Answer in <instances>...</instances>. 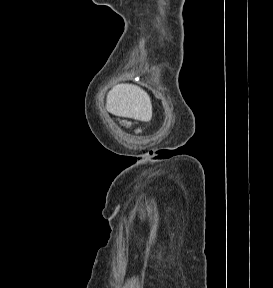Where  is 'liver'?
<instances>
[{
	"instance_id": "1",
	"label": "liver",
	"mask_w": 273,
	"mask_h": 288,
	"mask_svg": "<svg viewBox=\"0 0 273 288\" xmlns=\"http://www.w3.org/2000/svg\"><path fill=\"white\" fill-rule=\"evenodd\" d=\"M106 109L115 116L142 122L152 118L150 96L139 86L129 83L117 84L108 92Z\"/></svg>"
}]
</instances>
